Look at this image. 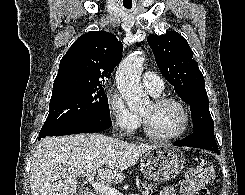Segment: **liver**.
I'll use <instances>...</instances> for the list:
<instances>
[{
  "instance_id": "liver-1",
  "label": "liver",
  "mask_w": 245,
  "mask_h": 195,
  "mask_svg": "<svg viewBox=\"0 0 245 195\" xmlns=\"http://www.w3.org/2000/svg\"><path fill=\"white\" fill-rule=\"evenodd\" d=\"M158 144H134L101 134L46 137L36 145L32 195H75L76 178L97 172L104 182L120 183L124 170ZM105 166V167H104Z\"/></svg>"
}]
</instances>
